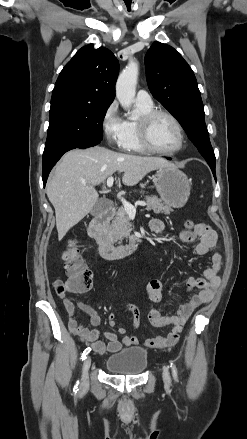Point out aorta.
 <instances>
[{"mask_svg":"<svg viewBox=\"0 0 247 439\" xmlns=\"http://www.w3.org/2000/svg\"><path fill=\"white\" fill-rule=\"evenodd\" d=\"M139 66L136 61L130 60L120 73L116 83V97L121 106L129 110L135 99ZM128 114H130L128 112Z\"/></svg>","mask_w":247,"mask_h":439,"instance_id":"762f6f07","label":"aorta"}]
</instances>
